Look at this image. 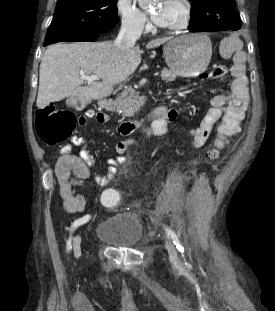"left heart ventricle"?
Listing matches in <instances>:
<instances>
[{"instance_id": "left-heart-ventricle-1", "label": "left heart ventricle", "mask_w": 275, "mask_h": 311, "mask_svg": "<svg viewBox=\"0 0 275 311\" xmlns=\"http://www.w3.org/2000/svg\"><path fill=\"white\" fill-rule=\"evenodd\" d=\"M161 7L164 13L163 26H171L178 24L183 16L182 8L175 0H163L154 5V9Z\"/></svg>"}]
</instances>
